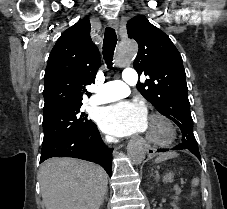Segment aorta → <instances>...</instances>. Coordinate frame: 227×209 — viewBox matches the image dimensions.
I'll return each instance as SVG.
<instances>
[{
  "label": "aorta",
  "mask_w": 227,
  "mask_h": 209,
  "mask_svg": "<svg viewBox=\"0 0 227 209\" xmlns=\"http://www.w3.org/2000/svg\"><path fill=\"white\" fill-rule=\"evenodd\" d=\"M138 51V45L134 40H125L119 44L115 64L119 67H125L133 60ZM146 150L144 144L141 142L132 143L128 147V157L130 161L139 165L145 158Z\"/></svg>",
  "instance_id": "obj_1"
}]
</instances>
